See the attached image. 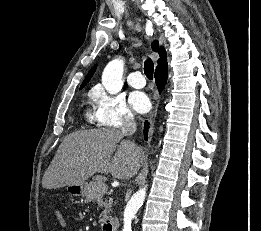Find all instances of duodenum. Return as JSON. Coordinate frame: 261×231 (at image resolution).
Masks as SVG:
<instances>
[{"instance_id": "duodenum-1", "label": "duodenum", "mask_w": 261, "mask_h": 231, "mask_svg": "<svg viewBox=\"0 0 261 231\" xmlns=\"http://www.w3.org/2000/svg\"><path fill=\"white\" fill-rule=\"evenodd\" d=\"M119 222L117 219H110L103 223L102 231H118Z\"/></svg>"}]
</instances>
